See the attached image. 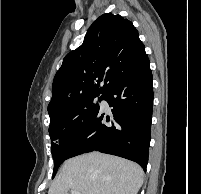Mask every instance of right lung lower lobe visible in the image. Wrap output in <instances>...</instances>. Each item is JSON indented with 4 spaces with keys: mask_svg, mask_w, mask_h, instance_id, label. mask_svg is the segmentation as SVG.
<instances>
[{
    "mask_svg": "<svg viewBox=\"0 0 201 194\" xmlns=\"http://www.w3.org/2000/svg\"><path fill=\"white\" fill-rule=\"evenodd\" d=\"M152 81L146 56L131 73L103 94V100L113 108L111 123H105V114L99 109L61 143L58 156L65 161L99 151L135 161L145 171L153 109Z\"/></svg>",
    "mask_w": 201,
    "mask_h": 194,
    "instance_id": "1",
    "label": "right lung lower lobe"
}]
</instances>
